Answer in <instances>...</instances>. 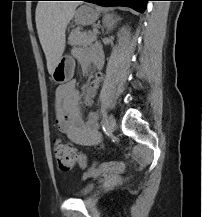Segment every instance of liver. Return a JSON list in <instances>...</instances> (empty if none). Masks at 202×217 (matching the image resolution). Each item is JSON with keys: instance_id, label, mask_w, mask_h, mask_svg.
<instances>
[{"instance_id": "liver-1", "label": "liver", "mask_w": 202, "mask_h": 217, "mask_svg": "<svg viewBox=\"0 0 202 217\" xmlns=\"http://www.w3.org/2000/svg\"><path fill=\"white\" fill-rule=\"evenodd\" d=\"M78 3L40 2L36 7V28L47 60L49 74L65 50V32Z\"/></svg>"}]
</instances>
